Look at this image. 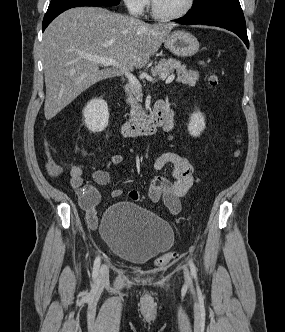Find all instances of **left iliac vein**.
<instances>
[{"instance_id": "left-iliac-vein-1", "label": "left iliac vein", "mask_w": 285, "mask_h": 332, "mask_svg": "<svg viewBox=\"0 0 285 332\" xmlns=\"http://www.w3.org/2000/svg\"><path fill=\"white\" fill-rule=\"evenodd\" d=\"M184 276H185L186 282L190 283L191 282V278H190V275H189V272H188L187 268H184Z\"/></svg>"}]
</instances>
